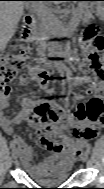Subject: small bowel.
<instances>
[{"label":"small bowel","mask_w":104,"mask_h":189,"mask_svg":"<svg viewBox=\"0 0 104 189\" xmlns=\"http://www.w3.org/2000/svg\"><path fill=\"white\" fill-rule=\"evenodd\" d=\"M30 77L34 80L39 78L37 68H31ZM21 82L27 81V76H21ZM75 85H87V92L95 95L93 100H101L103 84L98 79L89 74L78 75L72 77ZM88 103V102H87ZM9 106V95L1 98L0 103V125L3 131L11 136L12 144L19 151L21 161L25 169L33 175H43L46 170L52 167H61L68 169L72 163L76 161L85 147L87 142L93 139L103 125V117L93 118L87 110L86 103H79L76 107L69 110L62 116V120L71 125L69 135L63 133L62 128L58 125V116L48 101H35L30 97L21 100L20 110L14 119H10L5 110ZM44 106L46 111L44 114H37V109ZM35 113L33 114V112ZM21 122H30L32 125H43L53 128L55 133V144H48L42 140L47 150L53 156L39 164H32L33 151L32 148L14 132V124Z\"/></svg>","instance_id":"obj_1"}]
</instances>
